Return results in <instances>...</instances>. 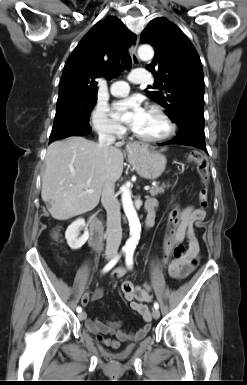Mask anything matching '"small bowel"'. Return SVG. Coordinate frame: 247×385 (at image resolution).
I'll list each match as a JSON object with an SVG mask.
<instances>
[{"label":"small bowel","mask_w":247,"mask_h":385,"mask_svg":"<svg viewBox=\"0 0 247 385\" xmlns=\"http://www.w3.org/2000/svg\"><path fill=\"white\" fill-rule=\"evenodd\" d=\"M157 201L148 199L145 207L148 211L154 212L157 208ZM205 210L203 207L188 206L180 208L174 206L169 215V225L165 233V247L163 264L167 265L168 273L171 278L182 280L188 277L197 267L199 261L200 245L195 233V226L202 227V221L205 218ZM184 239H187L188 249L183 258L179 260L169 261L168 257L173 248L180 244ZM127 273L126 267H119L112 272L111 278L117 280L122 278ZM132 287L130 293H124L126 300L130 303L133 311L138 313L142 320L143 326L136 332H130L123 328L122 321L114 320H86V327L92 334L97 336V340L106 346L119 348L123 341H138L141 340L151 328V312L147 303L151 302L153 296L150 294L151 285L144 284L135 286L130 282H126ZM104 294L102 287H98L94 291H86L81 303L87 306L90 302L97 301ZM106 335H114L116 339L105 338Z\"/></svg>","instance_id":"1"}]
</instances>
